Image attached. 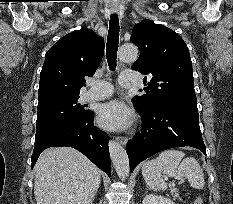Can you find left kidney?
<instances>
[{
  "label": "left kidney",
  "instance_id": "left-kidney-1",
  "mask_svg": "<svg viewBox=\"0 0 233 204\" xmlns=\"http://www.w3.org/2000/svg\"><path fill=\"white\" fill-rule=\"evenodd\" d=\"M143 204H175V203L167 197L150 194L144 197Z\"/></svg>",
  "mask_w": 233,
  "mask_h": 204
}]
</instances>
